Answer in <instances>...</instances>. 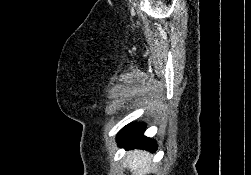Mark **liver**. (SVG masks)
<instances>
[{
  "mask_svg": "<svg viewBox=\"0 0 251 175\" xmlns=\"http://www.w3.org/2000/svg\"><path fill=\"white\" fill-rule=\"evenodd\" d=\"M151 155L143 149H134V151H128V155L125 159V167H129V171H132V175H145L151 171Z\"/></svg>",
  "mask_w": 251,
  "mask_h": 175,
  "instance_id": "liver-1",
  "label": "liver"
}]
</instances>
